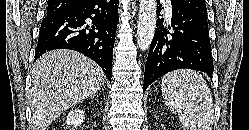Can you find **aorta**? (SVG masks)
I'll list each match as a JSON object with an SVG mask.
<instances>
[{
  "mask_svg": "<svg viewBox=\"0 0 249 130\" xmlns=\"http://www.w3.org/2000/svg\"><path fill=\"white\" fill-rule=\"evenodd\" d=\"M156 0H140L139 17L137 22V45L141 51L149 49L156 28Z\"/></svg>",
  "mask_w": 249,
  "mask_h": 130,
  "instance_id": "aorta-1",
  "label": "aorta"
}]
</instances>
